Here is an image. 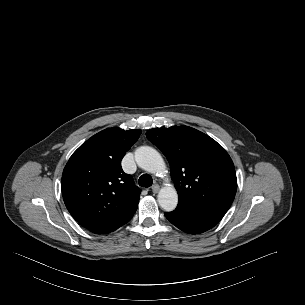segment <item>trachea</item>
<instances>
[{"instance_id":"1","label":"trachea","mask_w":305,"mask_h":305,"mask_svg":"<svg viewBox=\"0 0 305 305\" xmlns=\"http://www.w3.org/2000/svg\"><path fill=\"white\" fill-rule=\"evenodd\" d=\"M152 177L149 174H143L140 176L138 183L141 187H150L152 185Z\"/></svg>"}]
</instances>
